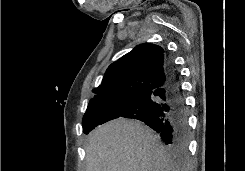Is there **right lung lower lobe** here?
Returning <instances> with one entry per match:
<instances>
[{
    "label": "right lung lower lobe",
    "mask_w": 245,
    "mask_h": 171,
    "mask_svg": "<svg viewBox=\"0 0 245 171\" xmlns=\"http://www.w3.org/2000/svg\"><path fill=\"white\" fill-rule=\"evenodd\" d=\"M165 69L167 81L163 86L126 101L100 124L119 117L140 120L159 133L165 144L176 149L179 158H184L188 138L187 111L178 74L169 56Z\"/></svg>",
    "instance_id": "98d812e1"
}]
</instances>
